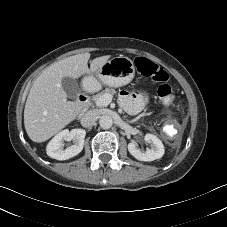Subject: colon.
<instances>
[{"label": "colon", "instance_id": "5ec220e1", "mask_svg": "<svg viewBox=\"0 0 227 227\" xmlns=\"http://www.w3.org/2000/svg\"><path fill=\"white\" fill-rule=\"evenodd\" d=\"M136 68L139 74L161 83L157 90V96L162 104L166 106L172 105L175 99V93L172 87L166 83L168 80L166 71L142 57L136 60Z\"/></svg>", "mask_w": 227, "mask_h": 227}]
</instances>
